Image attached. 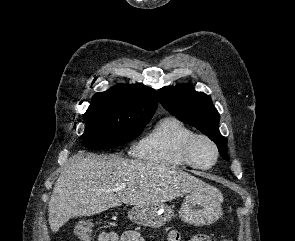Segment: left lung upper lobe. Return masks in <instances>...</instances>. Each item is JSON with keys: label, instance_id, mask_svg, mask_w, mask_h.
<instances>
[{"label": "left lung upper lobe", "instance_id": "obj_1", "mask_svg": "<svg viewBox=\"0 0 295 241\" xmlns=\"http://www.w3.org/2000/svg\"><path fill=\"white\" fill-rule=\"evenodd\" d=\"M163 107L184 123H188L213 140L221 156L228 160L227 139L219 132V113L211 98L197 92L191 84L164 87L158 90Z\"/></svg>", "mask_w": 295, "mask_h": 241}]
</instances>
